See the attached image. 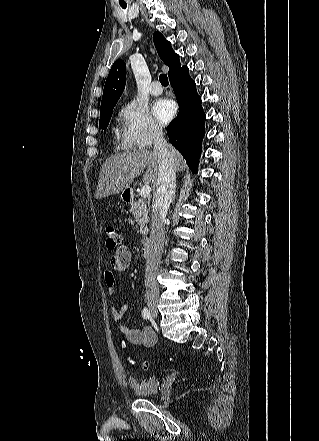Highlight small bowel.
I'll use <instances>...</instances> for the list:
<instances>
[{
  "label": "small bowel",
  "instance_id": "1",
  "mask_svg": "<svg viewBox=\"0 0 319 441\" xmlns=\"http://www.w3.org/2000/svg\"><path fill=\"white\" fill-rule=\"evenodd\" d=\"M131 262V252L126 246L118 248L116 253L110 258V264L114 271H125ZM104 282L107 287V293L112 296L115 293V275L113 271H105L103 274ZM129 306L123 304L120 308L111 307L110 312L117 323L121 333L133 345H141L151 347L156 343V335L150 327L133 328L122 324L125 314L128 312Z\"/></svg>",
  "mask_w": 319,
  "mask_h": 441
}]
</instances>
